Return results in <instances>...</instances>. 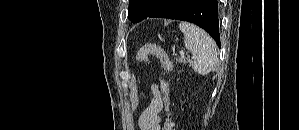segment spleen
I'll list each match as a JSON object with an SVG mask.
<instances>
[{
	"label": "spleen",
	"instance_id": "3e777b00",
	"mask_svg": "<svg viewBox=\"0 0 299 130\" xmlns=\"http://www.w3.org/2000/svg\"><path fill=\"white\" fill-rule=\"evenodd\" d=\"M184 34L185 47L192 53V69L200 75L212 72L217 64V50L214 40L201 28L187 22L179 24Z\"/></svg>",
	"mask_w": 299,
	"mask_h": 130
}]
</instances>
